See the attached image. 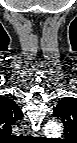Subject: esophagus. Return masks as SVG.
<instances>
[{"instance_id": "1", "label": "esophagus", "mask_w": 77, "mask_h": 143, "mask_svg": "<svg viewBox=\"0 0 77 143\" xmlns=\"http://www.w3.org/2000/svg\"><path fill=\"white\" fill-rule=\"evenodd\" d=\"M21 126H22V131H24V132H26L28 134H31V131L29 130L28 125L22 124Z\"/></svg>"}]
</instances>
